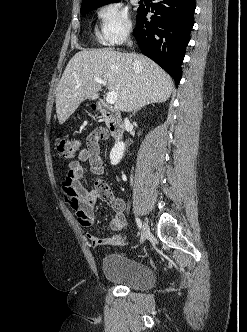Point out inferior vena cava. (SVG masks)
<instances>
[{
  "mask_svg": "<svg viewBox=\"0 0 247 332\" xmlns=\"http://www.w3.org/2000/svg\"><path fill=\"white\" fill-rule=\"evenodd\" d=\"M128 44L131 46V44H132V43H131V41H130V42H128Z\"/></svg>",
  "mask_w": 247,
  "mask_h": 332,
  "instance_id": "inferior-vena-cava-1",
  "label": "inferior vena cava"
}]
</instances>
